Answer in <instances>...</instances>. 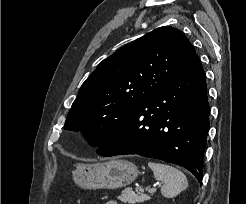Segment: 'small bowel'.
I'll return each instance as SVG.
<instances>
[{
  "label": "small bowel",
  "instance_id": "1",
  "mask_svg": "<svg viewBox=\"0 0 246 204\" xmlns=\"http://www.w3.org/2000/svg\"><path fill=\"white\" fill-rule=\"evenodd\" d=\"M104 204H118V203L116 201H108V202H106Z\"/></svg>",
  "mask_w": 246,
  "mask_h": 204
}]
</instances>
